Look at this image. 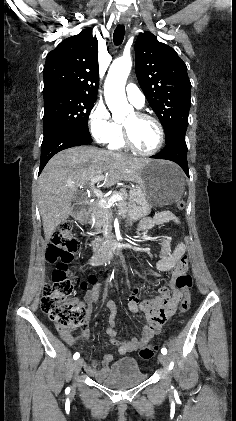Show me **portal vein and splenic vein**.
<instances>
[{"mask_svg":"<svg viewBox=\"0 0 236 421\" xmlns=\"http://www.w3.org/2000/svg\"><path fill=\"white\" fill-rule=\"evenodd\" d=\"M106 176L104 174H101V176H93L91 178L90 182L91 184H95V182H100V180H104ZM66 186H71V188H75L74 184H66ZM93 192H95V196H98L99 198V204H102V206H106V208H110L113 204V200H122L121 194H113L111 198H103L101 190L99 188H94L92 186Z\"/></svg>","mask_w":236,"mask_h":421,"instance_id":"obj_1","label":"portal vein and splenic vein"}]
</instances>
